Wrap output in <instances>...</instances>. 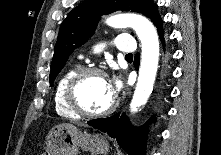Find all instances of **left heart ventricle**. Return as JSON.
Segmentation results:
<instances>
[{
  "label": "left heart ventricle",
  "instance_id": "left-heart-ventricle-1",
  "mask_svg": "<svg viewBox=\"0 0 221 155\" xmlns=\"http://www.w3.org/2000/svg\"><path fill=\"white\" fill-rule=\"evenodd\" d=\"M114 94L109 80L101 75H91L85 78L77 90L79 103L91 112H99L107 108Z\"/></svg>",
  "mask_w": 221,
  "mask_h": 155
}]
</instances>
